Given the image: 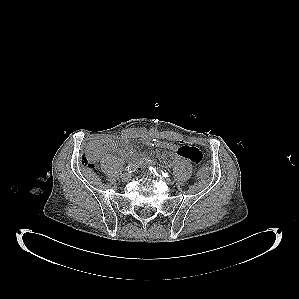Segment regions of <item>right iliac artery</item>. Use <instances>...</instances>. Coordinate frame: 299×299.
<instances>
[{"mask_svg":"<svg viewBox=\"0 0 299 299\" xmlns=\"http://www.w3.org/2000/svg\"><path fill=\"white\" fill-rule=\"evenodd\" d=\"M139 164L138 162H133V163H130L127 167H126V171L128 173H132L133 171H135L138 167H139Z\"/></svg>","mask_w":299,"mask_h":299,"instance_id":"1","label":"right iliac artery"}]
</instances>
